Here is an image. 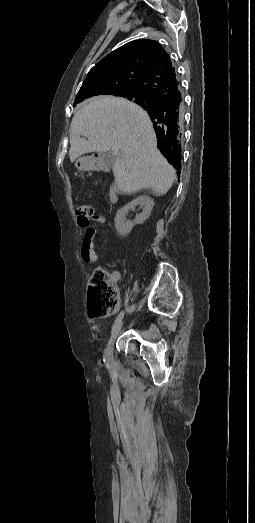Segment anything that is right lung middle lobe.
I'll list each match as a JSON object with an SVG mask.
<instances>
[{
	"instance_id": "1",
	"label": "right lung middle lobe",
	"mask_w": 255,
	"mask_h": 523,
	"mask_svg": "<svg viewBox=\"0 0 255 523\" xmlns=\"http://www.w3.org/2000/svg\"><path fill=\"white\" fill-rule=\"evenodd\" d=\"M116 96L133 100L135 103L141 102V106L144 109H151L154 106V99L151 96H148L147 93L142 91L130 90L117 94Z\"/></svg>"
}]
</instances>
